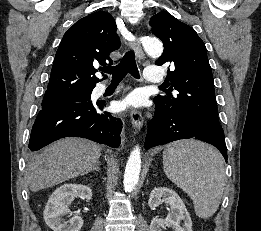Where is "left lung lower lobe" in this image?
<instances>
[{"mask_svg":"<svg viewBox=\"0 0 261 231\" xmlns=\"http://www.w3.org/2000/svg\"><path fill=\"white\" fill-rule=\"evenodd\" d=\"M189 138L212 144L227 161V148L223 133L183 111L167 110L156 104L155 115L148 126L145 149Z\"/></svg>","mask_w":261,"mask_h":231,"instance_id":"obj_1","label":"left lung lower lobe"}]
</instances>
